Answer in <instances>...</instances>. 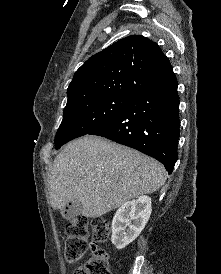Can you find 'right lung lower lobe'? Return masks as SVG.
I'll return each mask as SVG.
<instances>
[{
  "label": "right lung lower lobe",
  "instance_id": "right-lung-lower-lobe-1",
  "mask_svg": "<svg viewBox=\"0 0 221 274\" xmlns=\"http://www.w3.org/2000/svg\"><path fill=\"white\" fill-rule=\"evenodd\" d=\"M177 86L172 70L89 134L137 149L160 161L171 174L178 158L180 135Z\"/></svg>",
  "mask_w": 221,
  "mask_h": 274
}]
</instances>
